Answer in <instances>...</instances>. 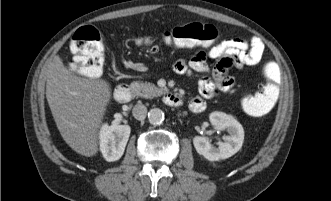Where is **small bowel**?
I'll return each instance as SVG.
<instances>
[{
	"label": "small bowel",
	"mask_w": 331,
	"mask_h": 201,
	"mask_svg": "<svg viewBox=\"0 0 331 201\" xmlns=\"http://www.w3.org/2000/svg\"><path fill=\"white\" fill-rule=\"evenodd\" d=\"M265 46L258 37L230 38L216 44L206 51H198L189 59H180L174 64V71L190 76L195 72L203 73L198 81L199 96L191 99L189 108L194 113H201L206 108V99L219 93L232 91L234 79L227 75L231 67L252 66L259 63ZM214 60L210 66L207 59Z\"/></svg>",
	"instance_id": "1"
}]
</instances>
